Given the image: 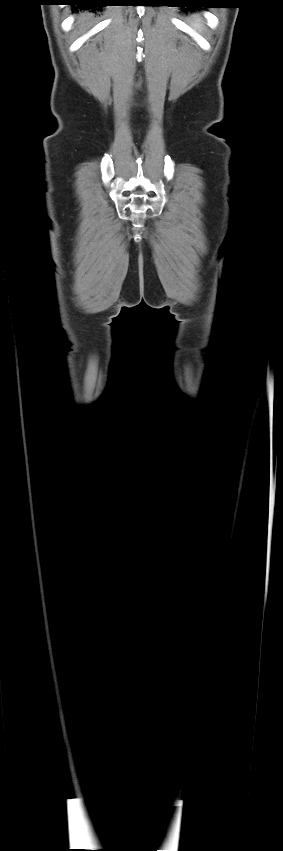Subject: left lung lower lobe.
Wrapping results in <instances>:
<instances>
[{"instance_id":"obj_1","label":"left lung lower lobe","mask_w":283,"mask_h":851,"mask_svg":"<svg viewBox=\"0 0 283 851\" xmlns=\"http://www.w3.org/2000/svg\"><path fill=\"white\" fill-rule=\"evenodd\" d=\"M208 2H209L208 0H195V1H192V2H186V3H208Z\"/></svg>"}]
</instances>
